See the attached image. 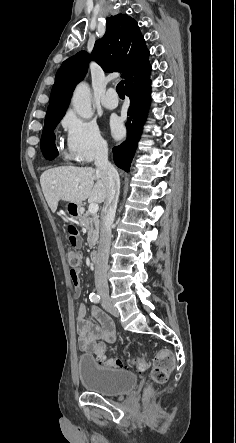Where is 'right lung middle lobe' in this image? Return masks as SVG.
<instances>
[{"label":"right lung middle lobe","instance_id":"dd1d6c3e","mask_svg":"<svg viewBox=\"0 0 236 443\" xmlns=\"http://www.w3.org/2000/svg\"><path fill=\"white\" fill-rule=\"evenodd\" d=\"M63 116L64 113L45 120L44 129L41 137L42 152L55 147V135L53 131Z\"/></svg>","mask_w":236,"mask_h":443}]
</instances>
